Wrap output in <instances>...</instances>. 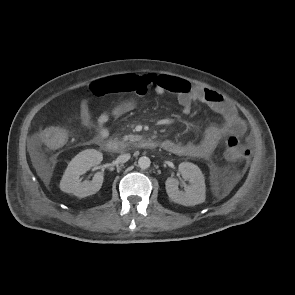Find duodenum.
<instances>
[{
	"label": "duodenum",
	"mask_w": 295,
	"mask_h": 295,
	"mask_svg": "<svg viewBox=\"0 0 295 295\" xmlns=\"http://www.w3.org/2000/svg\"><path fill=\"white\" fill-rule=\"evenodd\" d=\"M98 145L103 151L113 153L124 150L130 146V143L117 140H100ZM138 145L142 148L154 149L158 146V143L152 139H143L138 142Z\"/></svg>",
	"instance_id": "obj_1"
}]
</instances>
